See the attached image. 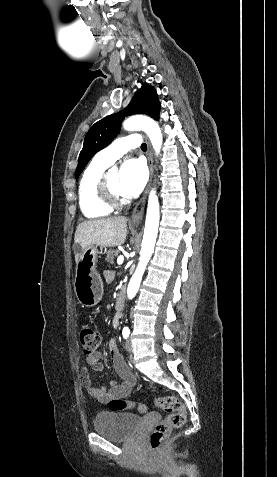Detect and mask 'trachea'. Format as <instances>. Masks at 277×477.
I'll use <instances>...</instances> for the list:
<instances>
[{
    "mask_svg": "<svg viewBox=\"0 0 277 477\" xmlns=\"http://www.w3.org/2000/svg\"><path fill=\"white\" fill-rule=\"evenodd\" d=\"M141 149H142L143 151H146V150H147V145H146L145 143H143V144L141 145Z\"/></svg>",
    "mask_w": 277,
    "mask_h": 477,
    "instance_id": "3493384b",
    "label": "trachea"
}]
</instances>
